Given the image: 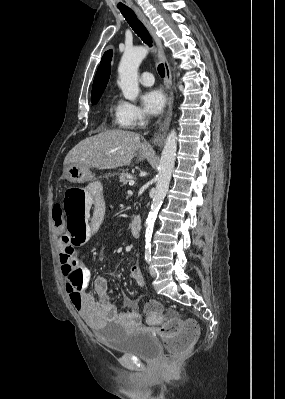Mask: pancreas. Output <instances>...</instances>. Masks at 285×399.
I'll return each mask as SVG.
<instances>
[{
    "label": "pancreas",
    "mask_w": 285,
    "mask_h": 399,
    "mask_svg": "<svg viewBox=\"0 0 285 399\" xmlns=\"http://www.w3.org/2000/svg\"><path fill=\"white\" fill-rule=\"evenodd\" d=\"M132 177V175L126 171H123L120 174L119 177V182L122 183L123 185H126L129 182V179Z\"/></svg>",
    "instance_id": "1"
}]
</instances>
